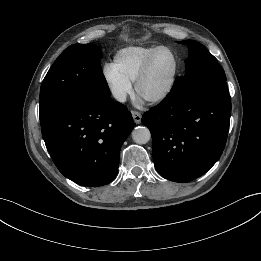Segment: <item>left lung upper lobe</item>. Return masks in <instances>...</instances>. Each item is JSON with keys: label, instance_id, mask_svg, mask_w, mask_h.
<instances>
[{"label": "left lung upper lobe", "instance_id": "left-lung-upper-lobe-1", "mask_svg": "<svg viewBox=\"0 0 261 261\" xmlns=\"http://www.w3.org/2000/svg\"><path fill=\"white\" fill-rule=\"evenodd\" d=\"M180 43L188 45L189 57L186 60V74L176 79L171 96L184 100L203 86L226 82L224 70L205 46L193 40Z\"/></svg>", "mask_w": 261, "mask_h": 261}]
</instances>
